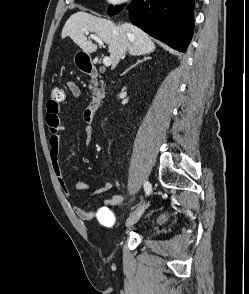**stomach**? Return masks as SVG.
I'll return each mask as SVG.
<instances>
[{"label": "stomach", "instance_id": "0dacf381", "mask_svg": "<svg viewBox=\"0 0 249 294\" xmlns=\"http://www.w3.org/2000/svg\"><path fill=\"white\" fill-rule=\"evenodd\" d=\"M84 54L88 55L87 53H84ZM78 57H84V55L78 53L77 56H76V63H77V61H78Z\"/></svg>", "mask_w": 249, "mask_h": 294}]
</instances>
